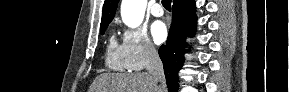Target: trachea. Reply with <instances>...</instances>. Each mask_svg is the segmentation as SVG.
<instances>
[{"label":"trachea","mask_w":289,"mask_h":92,"mask_svg":"<svg viewBox=\"0 0 289 92\" xmlns=\"http://www.w3.org/2000/svg\"><path fill=\"white\" fill-rule=\"evenodd\" d=\"M162 5L166 10H171V0H162Z\"/></svg>","instance_id":"3493384b"}]
</instances>
